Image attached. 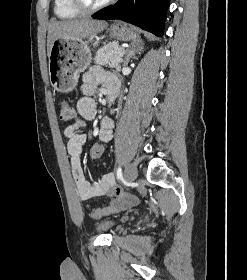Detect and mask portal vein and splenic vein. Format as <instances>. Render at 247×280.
Returning a JSON list of instances; mask_svg holds the SVG:
<instances>
[{
    "instance_id": "portal-vein-and-splenic-vein-1",
    "label": "portal vein and splenic vein",
    "mask_w": 247,
    "mask_h": 280,
    "mask_svg": "<svg viewBox=\"0 0 247 280\" xmlns=\"http://www.w3.org/2000/svg\"><path fill=\"white\" fill-rule=\"evenodd\" d=\"M116 61H118V62H121V61H122V54H120V57H118V58L116 59Z\"/></svg>"
}]
</instances>
